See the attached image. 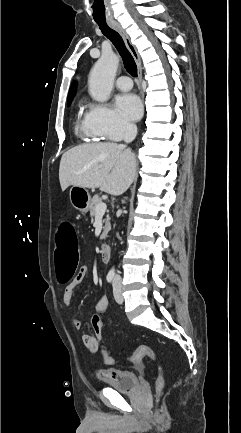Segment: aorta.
Masks as SVG:
<instances>
[{
	"label": "aorta",
	"instance_id": "1",
	"mask_svg": "<svg viewBox=\"0 0 241 433\" xmlns=\"http://www.w3.org/2000/svg\"><path fill=\"white\" fill-rule=\"evenodd\" d=\"M118 65L119 57L115 53H104L95 63L89 76V93L94 100L109 99ZM109 273L113 274L114 268Z\"/></svg>",
	"mask_w": 241,
	"mask_h": 433
}]
</instances>
